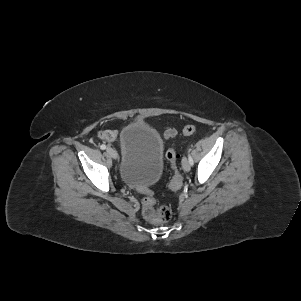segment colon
I'll return each mask as SVG.
<instances>
[{
	"mask_svg": "<svg viewBox=\"0 0 301 301\" xmlns=\"http://www.w3.org/2000/svg\"><path fill=\"white\" fill-rule=\"evenodd\" d=\"M196 132V127L194 125H187L183 129V134L186 136L192 135ZM101 137L105 140H112L113 134L112 132L106 131L101 134ZM166 157L171 164L172 170L174 175L170 182V187L173 190H177L182 186V175L180 173L177 161H178V154L176 153L175 149L171 148L167 151ZM156 201L152 197H145L142 200V214L143 216L154 223H166L172 217V210L168 206H161L159 208H155Z\"/></svg>",
	"mask_w": 301,
	"mask_h": 301,
	"instance_id": "colon-1",
	"label": "colon"
}]
</instances>
